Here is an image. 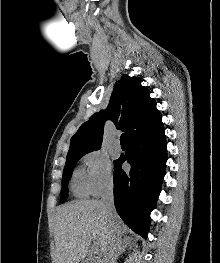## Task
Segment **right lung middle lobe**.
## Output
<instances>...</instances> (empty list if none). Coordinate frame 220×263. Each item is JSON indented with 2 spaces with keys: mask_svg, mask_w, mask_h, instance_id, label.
Segmentation results:
<instances>
[{
  "mask_svg": "<svg viewBox=\"0 0 220 263\" xmlns=\"http://www.w3.org/2000/svg\"><path fill=\"white\" fill-rule=\"evenodd\" d=\"M89 152H80V153H71L67 154L66 164L63 171L62 177V193H61V202H64L67 199L68 193V182L72 175L73 169L79 159Z\"/></svg>",
  "mask_w": 220,
  "mask_h": 263,
  "instance_id": "obj_1",
  "label": "right lung middle lobe"
}]
</instances>
